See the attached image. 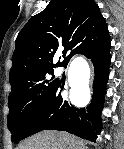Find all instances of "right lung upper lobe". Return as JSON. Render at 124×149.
Masks as SVG:
<instances>
[{
  "instance_id": "cb5924a9",
  "label": "right lung upper lobe",
  "mask_w": 124,
  "mask_h": 149,
  "mask_svg": "<svg viewBox=\"0 0 124 149\" xmlns=\"http://www.w3.org/2000/svg\"><path fill=\"white\" fill-rule=\"evenodd\" d=\"M109 38L105 19L93 0H51L16 38L9 82L12 89L34 75L66 67L75 54H85ZM62 53L64 60L53 64Z\"/></svg>"
}]
</instances>
